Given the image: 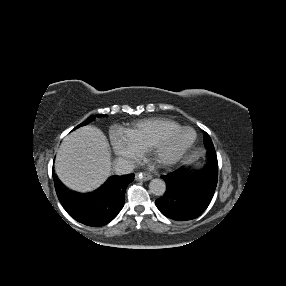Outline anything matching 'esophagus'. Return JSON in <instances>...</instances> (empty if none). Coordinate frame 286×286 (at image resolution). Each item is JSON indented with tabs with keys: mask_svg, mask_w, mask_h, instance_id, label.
<instances>
[{
	"mask_svg": "<svg viewBox=\"0 0 286 286\" xmlns=\"http://www.w3.org/2000/svg\"><path fill=\"white\" fill-rule=\"evenodd\" d=\"M136 180L147 181L152 178V175L148 172L137 173L135 176Z\"/></svg>",
	"mask_w": 286,
	"mask_h": 286,
	"instance_id": "34e87169",
	"label": "esophagus"
}]
</instances>
